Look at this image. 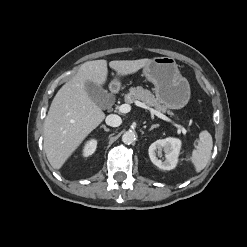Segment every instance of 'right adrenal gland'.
<instances>
[{"label":"right adrenal gland","mask_w":247,"mask_h":247,"mask_svg":"<svg viewBox=\"0 0 247 247\" xmlns=\"http://www.w3.org/2000/svg\"><path fill=\"white\" fill-rule=\"evenodd\" d=\"M100 128H103V129H104V131H106V132H109V131H110V129H109V128H107L105 125H102Z\"/></svg>","instance_id":"right-adrenal-gland-1"}]
</instances>
